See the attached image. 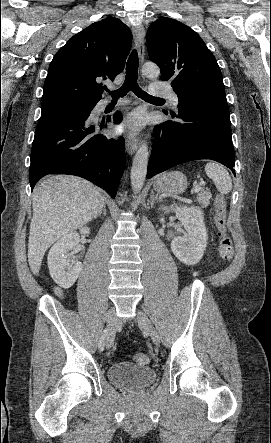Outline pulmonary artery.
<instances>
[{"mask_svg": "<svg viewBox=\"0 0 271 443\" xmlns=\"http://www.w3.org/2000/svg\"><path fill=\"white\" fill-rule=\"evenodd\" d=\"M155 94L157 95H162V96H166L174 105H177L179 103V99L178 96L176 95V93L174 91H172L171 89L165 91V92H156ZM113 103L112 99H103L100 100L95 108H94V113L98 114L101 111H103L107 106L111 105ZM127 103L126 99H118L115 102L116 106H123Z\"/></svg>", "mask_w": 271, "mask_h": 443, "instance_id": "e3ab8cb5", "label": "pulmonary artery"}]
</instances>
